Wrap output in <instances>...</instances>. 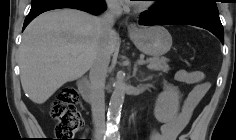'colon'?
<instances>
[{"label": "colon", "instance_id": "5ec220e1", "mask_svg": "<svg viewBox=\"0 0 236 140\" xmlns=\"http://www.w3.org/2000/svg\"><path fill=\"white\" fill-rule=\"evenodd\" d=\"M77 101V92L71 87L62 89L53 101L50 114L57 122V140H71L82 128L83 120L76 108ZM180 140L187 139L185 136H182Z\"/></svg>", "mask_w": 236, "mask_h": 140}]
</instances>
